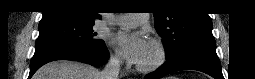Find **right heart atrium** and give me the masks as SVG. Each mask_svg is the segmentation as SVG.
Wrapping results in <instances>:
<instances>
[{"label": "right heart atrium", "mask_w": 255, "mask_h": 79, "mask_svg": "<svg viewBox=\"0 0 255 79\" xmlns=\"http://www.w3.org/2000/svg\"><path fill=\"white\" fill-rule=\"evenodd\" d=\"M110 59L115 64H119L121 62V56L117 51H112L111 52Z\"/></svg>", "instance_id": "d8ad5b80"}]
</instances>
